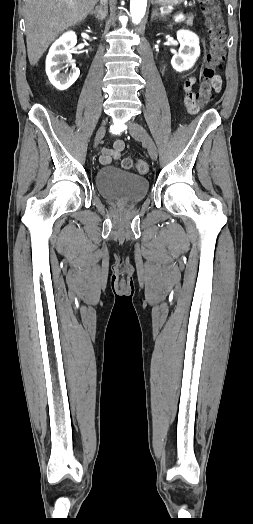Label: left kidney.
Listing matches in <instances>:
<instances>
[{
    "instance_id": "obj_1",
    "label": "left kidney",
    "mask_w": 253,
    "mask_h": 524,
    "mask_svg": "<svg viewBox=\"0 0 253 524\" xmlns=\"http://www.w3.org/2000/svg\"><path fill=\"white\" fill-rule=\"evenodd\" d=\"M177 39L180 48L172 57L171 65L177 72H182L190 69L200 55L199 37L188 30H179Z\"/></svg>"
}]
</instances>
